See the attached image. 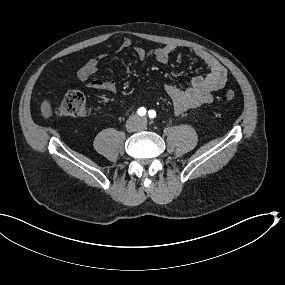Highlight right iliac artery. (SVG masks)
Listing matches in <instances>:
<instances>
[{
	"instance_id": "1",
	"label": "right iliac artery",
	"mask_w": 285,
	"mask_h": 285,
	"mask_svg": "<svg viewBox=\"0 0 285 285\" xmlns=\"http://www.w3.org/2000/svg\"><path fill=\"white\" fill-rule=\"evenodd\" d=\"M138 115L143 116L146 114V109L144 107H141L137 111Z\"/></svg>"
}]
</instances>
